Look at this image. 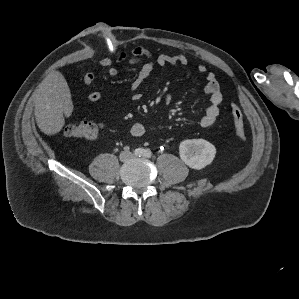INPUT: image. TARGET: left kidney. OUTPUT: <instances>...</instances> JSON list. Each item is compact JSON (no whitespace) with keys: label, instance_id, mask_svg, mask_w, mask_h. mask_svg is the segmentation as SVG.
<instances>
[{"label":"left kidney","instance_id":"obj_1","mask_svg":"<svg viewBox=\"0 0 299 299\" xmlns=\"http://www.w3.org/2000/svg\"><path fill=\"white\" fill-rule=\"evenodd\" d=\"M179 153L186 165L200 170L213 161L216 148L204 139H187L180 143Z\"/></svg>","mask_w":299,"mask_h":299}]
</instances>
